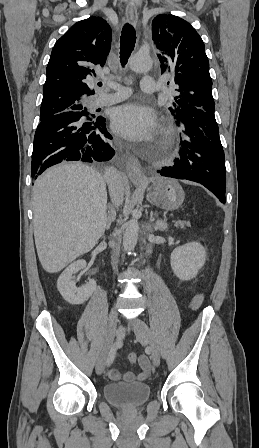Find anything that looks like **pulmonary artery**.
<instances>
[{
	"label": "pulmonary artery",
	"mask_w": 259,
	"mask_h": 448,
	"mask_svg": "<svg viewBox=\"0 0 259 448\" xmlns=\"http://www.w3.org/2000/svg\"><path fill=\"white\" fill-rule=\"evenodd\" d=\"M139 54L135 53L131 56L130 58V64L132 65L133 69L135 71H142L141 69H139L135 64H134V59L138 56ZM102 86L105 88H112V89H123V87L114 81H109L106 80L102 83ZM98 96L95 100V104L96 105H100V104H112V103H116L119 101H122L124 99H126L127 97H129L130 93L128 91L125 92H121V93H115V94H110V95H102L101 91L99 90L97 92Z\"/></svg>",
	"instance_id": "pulmonary-artery-1"
}]
</instances>
